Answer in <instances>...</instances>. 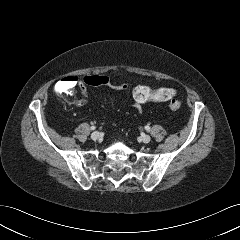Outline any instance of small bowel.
<instances>
[{"label": "small bowel", "instance_id": "small-bowel-1", "mask_svg": "<svg viewBox=\"0 0 240 240\" xmlns=\"http://www.w3.org/2000/svg\"><path fill=\"white\" fill-rule=\"evenodd\" d=\"M79 103H80V104L83 103V100H81ZM132 105H133V107H134L138 112H141V111H142V106H141V104L133 101V104H132Z\"/></svg>", "mask_w": 240, "mask_h": 240}]
</instances>
